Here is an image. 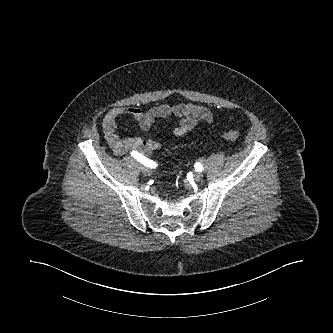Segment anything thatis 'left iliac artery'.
<instances>
[{
	"instance_id": "obj_1",
	"label": "left iliac artery",
	"mask_w": 333,
	"mask_h": 333,
	"mask_svg": "<svg viewBox=\"0 0 333 333\" xmlns=\"http://www.w3.org/2000/svg\"><path fill=\"white\" fill-rule=\"evenodd\" d=\"M194 167H195V170L198 171V172L203 171V166L200 162H196Z\"/></svg>"
}]
</instances>
